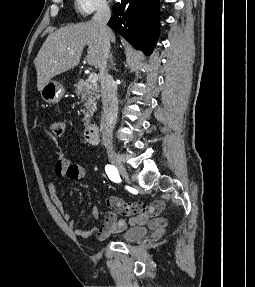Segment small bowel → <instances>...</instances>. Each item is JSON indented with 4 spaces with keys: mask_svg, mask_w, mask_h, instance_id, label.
Masks as SVG:
<instances>
[{
    "mask_svg": "<svg viewBox=\"0 0 255 287\" xmlns=\"http://www.w3.org/2000/svg\"><path fill=\"white\" fill-rule=\"evenodd\" d=\"M54 171L57 177H66L70 180H79L85 176L84 169L73 163L67 153L59 155ZM48 189L51 201L58 212L68 223L73 233L81 238H88L96 234L99 239H106L111 234L122 232L131 225L144 224H148L157 234H161L168 224L166 217L154 218L162 212L164 208L163 201L158 200L150 204L126 203L119 198L110 197L107 199L108 210L105 213V223L101 226L83 229L78 226L77 220L65 209L53 182L49 183ZM118 213L129 217V219H118ZM92 215L93 218L97 219L99 217V210L97 208L93 209Z\"/></svg>",
    "mask_w": 255,
    "mask_h": 287,
    "instance_id": "c3829d8e",
    "label": "small bowel"
}]
</instances>
